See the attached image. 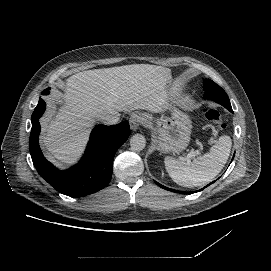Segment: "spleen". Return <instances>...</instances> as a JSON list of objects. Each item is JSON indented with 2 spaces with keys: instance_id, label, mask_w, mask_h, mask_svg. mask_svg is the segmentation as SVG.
<instances>
[{
  "instance_id": "obj_1",
  "label": "spleen",
  "mask_w": 271,
  "mask_h": 271,
  "mask_svg": "<svg viewBox=\"0 0 271 271\" xmlns=\"http://www.w3.org/2000/svg\"><path fill=\"white\" fill-rule=\"evenodd\" d=\"M231 149V138L222 134L209 150L194 158L176 159L170 156L164 158V164L169 176L179 185L193 187L210 182L223 168Z\"/></svg>"
}]
</instances>
